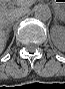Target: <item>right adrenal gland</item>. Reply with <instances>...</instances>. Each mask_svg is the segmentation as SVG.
I'll list each match as a JSON object with an SVG mask.
<instances>
[{
  "label": "right adrenal gland",
  "mask_w": 65,
  "mask_h": 89,
  "mask_svg": "<svg viewBox=\"0 0 65 89\" xmlns=\"http://www.w3.org/2000/svg\"><path fill=\"white\" fill-rule=\"evenodd\" d=\"M11 27H12V24H9L6 28H5V33L6 35L8 36L10 31H11Z\"/></svg>",
  "instance_id": "right-adrenal-gland-1"
}]
</instances>
